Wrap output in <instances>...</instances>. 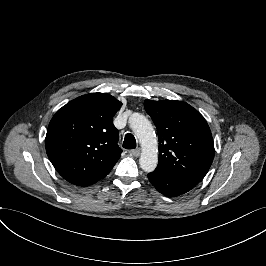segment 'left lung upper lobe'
Returning <instances> with one entry per match:
<instances>
[{"label": "left lung upper lobe", "instance_id": "left-lung-upper-lobe-1", "mask_svg": "<svg viewBox=\"0 0 266 266\" xmlns=\"http://www.w3.org/2000/svg\"><path fill=\"white\" fill-rule=\"evenodd\" d=\"M159 139V162L155 171L192 186L208 172L214 158V143L204 117L182 101L145 100Z\"/></svg>", "mask_w": 266, "mask_h": 266}]
</instances>
